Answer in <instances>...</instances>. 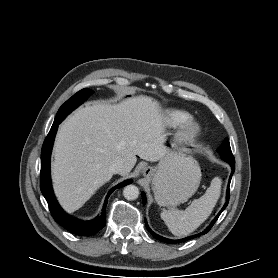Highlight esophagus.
Instances as JSON below:
<instances>
[{
  "instance_id": "esophagus-1",
  "label": "esophagus",
  "mask_w": 278,
  "mask_h": 278,
  "mask_svg": "<svg viewBox=\"0 0 278 278\" xmlns=\"http://www.w3.org/2000/svg\"><path fill=\"white\" fill-rule=\"evenodd\" d=\"M142 173H143V175L144 176H150L151 175V173H152V169H151V167H144L143 169H142Z\"/></svg>"
}]
</instances>
